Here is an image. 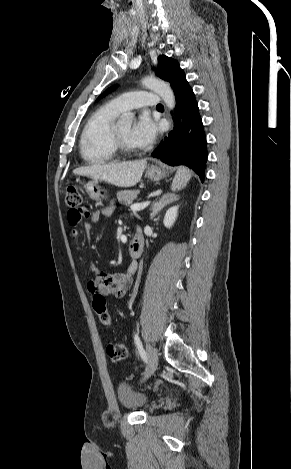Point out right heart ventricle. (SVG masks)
I'll return each mask as SVG.
<instances>
[{"label":"right heart ventricle","instance_id":"obj_1","mask_svg":"<svg viewBox=\"0 0 291 469\" xmlns=\"http://www.w3.org/2000/svg\"><path fill=\"white\" fill-rule=\"evenodd\" d=\"M121 113L111 103L99 107L88 118L79 141V151L89 164H101L116 158L111 131L115 119Z\"/></svg>","mask_w":291,"mask_h":469}]
</instances>
